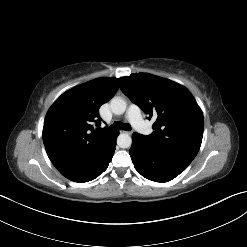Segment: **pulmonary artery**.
Returning <instances> with one entry per match:
<instances>
[{"mask_svg": "<svg viewBox=\"0 0 247 247\" xmlns=\"http://www.w3.org/2000/svg\"><path fill=\"white\" fill-rule=\"evenodd\" d=\"M126 118L139 132L143 134H149L151 132L150 126L142 119L138 106L130 105L126 113Z\"/></svg>", "mask_w": 247, "mask_h": 247, "instance_id": "pulmonary-artery-1", "label": "pulmonary artery"}]
</instances>
